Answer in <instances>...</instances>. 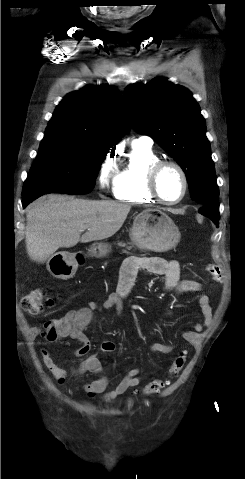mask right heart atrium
<instances>
[{
	"instance_id": "d8ad5b80",
	"label": "right heart atrium",
	"mask_w": 245,
	"mask_h": 479,
	"mask_svg": "<svg viewBox=\"0 0 245 479\" xmlns=\"http://www.w3.org/2000/svg\"><path fill=\"white\" fill-rule=\"evenodd\" d=\"M115 162L111 157H106L101 163L98 171L99 189L105 191L111 187L115 180Z\"/></svg>"
}]
</instances>
